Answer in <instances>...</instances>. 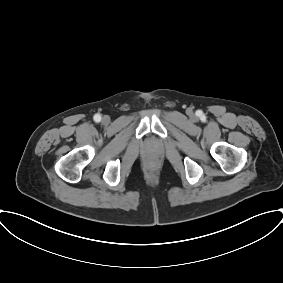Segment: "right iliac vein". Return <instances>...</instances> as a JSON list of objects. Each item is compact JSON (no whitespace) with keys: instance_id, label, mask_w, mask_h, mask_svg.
I'll return each instance as SVG.
<instances>
[{"instance_id":"obj_1","label":"right iliac vein","mask_w":283,"mask_h":283,"mask_svg":"<svg viewBox=\"0 0 283 283\" xmlns=\"http://www.w3.org/2000/svg\"><path fill=\"white\" fill-rule=\"evenodd\" d=\"M110 122V117L105 115L102 117V123L103 124H108Z\"/></svg>"}]
</instances>
